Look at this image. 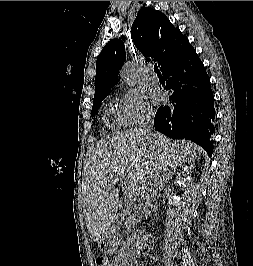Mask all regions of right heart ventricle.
I'll use <instances>...</instances> for the list:
<instances>
[{
  "label": "right heart ventricle",
  "mask_w": 253,
  "mask_h": 266,
  "mask_svg": "<svg viewBox=\"0 0 253 266\" xmlns=\"http://www.w3.org/2000/svg\"><path fill=\"white\" fill-rule=\"evenodd\" d=\"M103 119L105 124L112 129H120L126 125L119 110L116 111L110 104L104 110Z\"/></svg>",
  "instance_id": "obj_1"
}]
</instances>
